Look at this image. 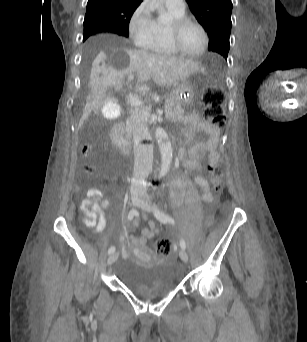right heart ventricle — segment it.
Masks as SVG:
<instances>
[{
    "mask_svg": "<svg viewBox=\"0 0 307 342\" xmlns=\"http://www.w3.org/2000/svg\"><path fill=\"white\" fill-rule=\"evenodd\" d=\"M173 18L182 17L184 13H172ZM166 26H160L158 30V34L156 37L152 38L148 42L139 45L143 51L152 52L156 54H162L167 56H175L178 55L168 44L166 39Z\"/></svg>",
    "mask_w": 307,
    "mask_h": 342,
    "instance_id": "right-heart-ventricle-1",
    "label": "right heart ventricle"
}]
</instances>
